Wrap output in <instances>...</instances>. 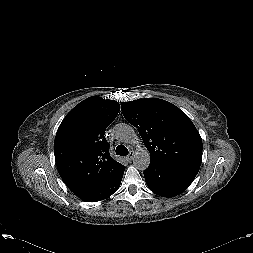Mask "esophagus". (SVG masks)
<instances>
[{
	"instance_id": "34e87169",
	"label": "esophagus",
	"mask_w": 253,
	"mask_h": 253,
	"mask_svg": "<svg viewBox=\"0 0 253 253\" xmlns=\"http://www.w3.org/2000/svg\"><path fill=\"white\" fill-rule=\"evenodd\" d=\"M134 157V151H130L129 155L127 156V160L131 161Z\"/></svg>"
}]
</instances>
